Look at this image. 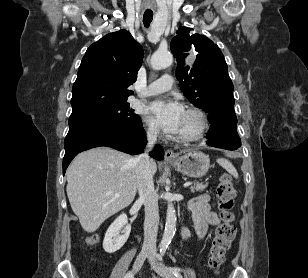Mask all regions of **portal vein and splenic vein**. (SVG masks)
Instances as JSON below:
<instances>
[{"label": "portal vein and splenic vein", "instance_id": "obj_1", "mask_svg": "<svg viewBox=\"0 0 308 278\" xmlns=\"http://www.w3.org/2000/svg\"><path fill=\"white\" fill-rule=\"evenodd\" d=\"M191 185H192L191 182H187V183L184 184V187H189V186H191ZM116 197H119V196H116Z\"/></svg>", "mask_w": 308, "mask_h": 278}]
</instances>
